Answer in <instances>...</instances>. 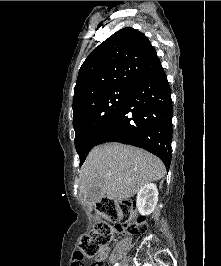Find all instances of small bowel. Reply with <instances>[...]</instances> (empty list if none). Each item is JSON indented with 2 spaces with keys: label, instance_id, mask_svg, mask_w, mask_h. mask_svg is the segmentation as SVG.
Segmentation results:
<instances>
[{
  "label": "small bowel",
  "instance_id": "obj_1",
  "mask_svg": "<svg viewBox=\"0 0 221 266\" xmlns=\"http://www.w3.org/2000/svg\"><path fill=\"white\" fill-rule=\"evenodd\" d=\"M71 256L74 257L71 266H82V259L80 257H84V252H72ZM107 256V251H103L97 259L105 260Z\"/></svg>",
  "mask_w": 221,
  "mask_h": 266
}]
</instances>
